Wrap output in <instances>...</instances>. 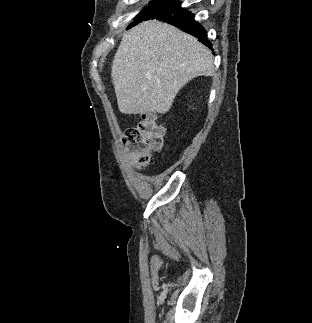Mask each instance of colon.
Here are the masks:
<instances>
[{"instance_id":"obj_1","label":"colon","mask_w":312,"mask_h":323,"mask_svg":"<svg viewBox=\"0 0 312 323\" xmlns=\"http://www.w3.org/2000/svg\"><path fill=\"white\" fill-rule=\"evenodd\" d=\"M125 137L134 149V161H128V168H141L150 162L151 153L162 147V128L153 120L145 118L136 127L127 129Z\"/></svg>"}]
</instances>
